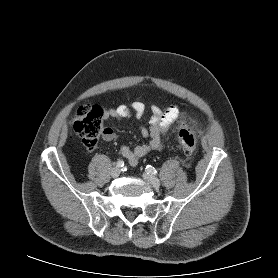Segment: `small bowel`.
<instances>
[{
	"label": "small bowel",
	"mask_w": 278,
	"mask_h": 278,
	"mask_svg": "<svg viewBox=\"0 0 278 278\" xmlns=\"http://www.w3.org/2000/svg\"><path fill=\"white\" fill-rule=\"evenodd\" d=\"M146 112V106L139 101L133 102L130 106L121 104L115 108L106 111L107 118H115L124 120L131 117L141 119ZM180 110L178 106L171 105L166 110H162L157 106L150 108L149 126H140V132L147 142L131 149L127 145H123L120 149L121 155L126 158L130 165L136 166L140 158L147 155L153 150H160L164 146V137L171 124L178 119ZM103 138L106 141H112L115 133L112 128H105Z\"/></svg>",
	"instance_id": "obj_1"
}]
</instances>
